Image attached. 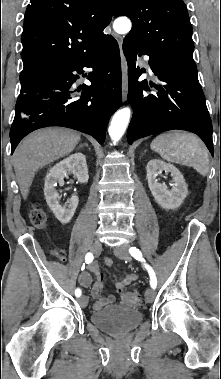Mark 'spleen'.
Listing matches in <instances>:
<instances>
[{"instance_id":"spleen-1","label":"spleen","mask_w":221,"mask_h":379,"mask_svg":"<svg viewBox=\"0 0 221 379\" xmlns=\"http://www.w3.org/2000/svg\"><path fill=\"white\" fill-rule=\"evenodd\" d=\"M151 148L168 162L193 167L202 176L209 173L208 150L202 140L191 133H162L152 141Z\"/></svg>"}]
</instances>
